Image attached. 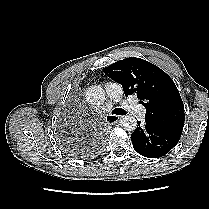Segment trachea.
<instances>
[{
	"label": "trachea",
	"instance_id": "obj_1",
	"mask_svg": "<svg viewBox=\"0 0 209 209\" xmlns=\"http://www.w3.org/2000/svg\"><path fill=\"white\" fill-rule=\"evenodd\" d=\"M112 114H116V115H125L126 114V111L122 108H115L113 111H112ZM108 119V118H107Z\"/></svg>",
	"mask_w": 209,
	"mask_h": 209
}]
</instances>
